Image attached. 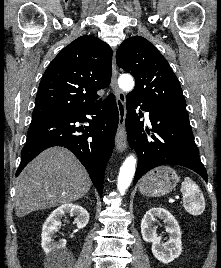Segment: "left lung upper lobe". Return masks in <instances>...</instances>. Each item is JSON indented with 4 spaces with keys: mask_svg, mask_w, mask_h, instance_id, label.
I'll return each instance as SVG.
<instances>
[{
    "mask_svg": "<svg viewBox=\"0 0 221 268\" xmlns=\"http://www.w3.org/2000/svg\"><path fill=\"white\" fill-rule=\"evenodd\" d=\"M116 62L135 78L134 90L128 95L149 103L186 108L176 75L147 39L135 36L123 41L116 52Z\"/></svg>",
    "mask_w": 221,
    "mask_h": 268,
    "instance_id": "obj_1",
    "label": "left lung upper lobe"
}]
</instances>
